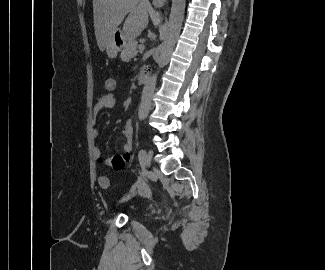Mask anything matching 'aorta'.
Returning <instances> with one entry per match:
<instances>
[{
	"mask_svg": "<svg viewBox=\"0 0 325 270\" xmlns=\"http://www.w3.org/2000/svg\"><path fill=\"white\" fill-rule=\"evenodd\" d=\"M185 12V0H172L167 31L163 43L160 46L158 67H164L170 59V55L179 37ZM157 74L152 75L145 83L139 106V118H145L151 107V98L155 90Z\"/></svg>",
	"mask_w": 325,
	"mask_h": 270,
	"instance_id": "1",
	"label": "aorta"
}]
</instances>
